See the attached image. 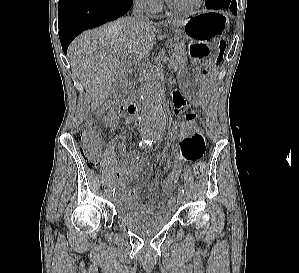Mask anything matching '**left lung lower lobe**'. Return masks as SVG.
<instances>
[{"label": "left lung lower lobe", "instance_id": "1", "mask_svg": "<svg viewBox=\"0 0 299 273\" xmlns=\"http://www.w3.org/2000/svg\"><path fill=\"white\" fill-rule=\"evenodd\" d=\"M206 7L208 9L230 8L234 14H237L236 0H206Z\"/></svg>", "mask_w": 299, "mask_h": 273}]
</instances>
